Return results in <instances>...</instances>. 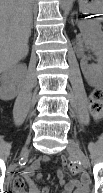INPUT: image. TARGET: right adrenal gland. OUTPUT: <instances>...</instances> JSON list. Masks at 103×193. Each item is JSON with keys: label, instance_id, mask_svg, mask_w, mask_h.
<instances>
[{"label": "right adrenal gland", "instance_id": "2a0ac1e0", "mask_svg": "<svg viewBox=\"0 0 103 193\" xmlns=\"http://www.w3.org/2000/svg\"><path fill=\"white\" fill-rule=\"evenodd\" d=\"M31 29H33V21L31 22V25H30V35H31Z\"/></svg>", "mask_w": 103, "mask_h": 193}]
</instances>
